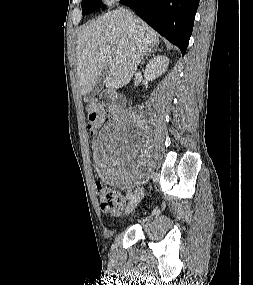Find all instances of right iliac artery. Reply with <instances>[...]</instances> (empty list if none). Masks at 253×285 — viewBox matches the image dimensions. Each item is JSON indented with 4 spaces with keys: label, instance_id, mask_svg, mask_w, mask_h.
I'll return each mask as SVG.
<instances>
[{
    "label": "right iliac artery",
    "instance_id": "right-iliac-artery-1",
    "mask_svg": "<svg viewBox=\"0 0 253 285\" xmlns=\"http://www.w3.org/2000/svg\"><path fill=\"white\" fill-rule=\"evenodd\" d=\"M126 197H127V199H130L132 197V192L131 191L128 192Z\"/></svg>",
    "mask_w": 253,
    "mask_h": 285
}]
</instances>
